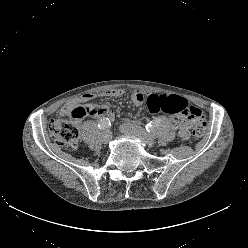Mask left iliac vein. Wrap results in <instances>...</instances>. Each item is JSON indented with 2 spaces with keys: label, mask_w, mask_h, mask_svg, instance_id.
Here are the masks:
<instances>
[{
  "label": "left iliac vein",
  "mask_w": 248,
  "mask_h": 248,
  "mask_svg": "<svg viewBox=\"0 0 248 248\" xmlns=\"http://www.w3.org/2000/svg\"><path fill=\"white\" fill-rule=\"evenodd\" d=\"M121 131L134 138L140 139L142 142L148 146H152L155 143L154 136L147 133L144 129L137 127L131 123H125L120 126Z\"/></svg>",
  "instance_id": "left-iliac-vein-1"
}]
</instances>
